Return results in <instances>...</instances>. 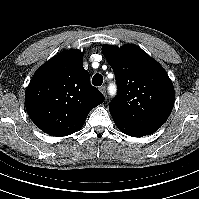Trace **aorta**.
<instances>
[{
	"mask_svg": "<svg viewBox=\"0 0 199 199\" xmlns=\"http://www.w3.org/2000/svg\"><path fill=\"white\" fill-rule=\"evenodd\" d=\"M110 90H111L112 94L115 93V87L114 86H112Z\"/></svg>",
	"mask_w": 199,
	"mask_h": 199,
	"instance_id": "obj_1",
	"label": "aorta"
}]
</instances>
